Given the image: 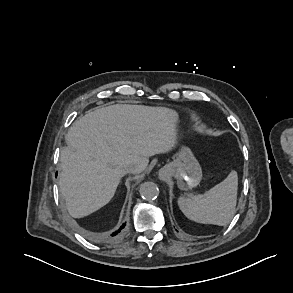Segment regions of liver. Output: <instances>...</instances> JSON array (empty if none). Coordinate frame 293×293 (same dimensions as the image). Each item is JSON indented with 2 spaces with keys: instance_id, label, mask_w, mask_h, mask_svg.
Here are the masks:
<instances>
[{
  "instance_id": "6515ba94",
  "label": "liver",
  "mask_w": 293,
  "mask_h": 293,
  "mask_svg": "<svg viewBox=\"0 0 293 293\" xmlns=\"http://www.w3.org/2000/svg\"><path fill=\"white\" fill-rule=\"evenodd\" d=\"M177 113L165 107L116 104L76 120L61 151L60 192L69 214L81 218L113 198L130 166L142 172L149 157L175 146Z\"/></svg>"
}]
</instances>
